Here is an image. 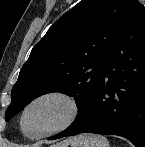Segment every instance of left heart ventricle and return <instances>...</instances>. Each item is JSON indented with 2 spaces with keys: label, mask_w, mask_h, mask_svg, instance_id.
Returning a JSON list of instances; mask_svg holds the SVG:
<instances>
[{
  "label": "left heart ventricle",
  "mask_w": 145,
  "mask_h": 147,
  "mask_svg": "<svg viewBox=\"0 0 145 147\" xmlns=\"http://www.w3.org/2000/svg\"><path fill=\"white\" fill-rule=\"evenodd\" d=\"M68 115L66 104L51 99L33 106L25 118V127L30 132H41L60 125Z\"/></svg>",
  "instance_id": "obj_1"
}]
</instances>
